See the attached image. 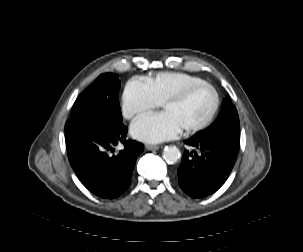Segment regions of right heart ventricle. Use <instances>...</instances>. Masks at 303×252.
I'll list each match as a JSON object with an SVG mask.
<instances>
[{"label":"right heart ventricle","instance_id":"1","mask_svg":"<svg viewBox=\"0 0 303 252\" xmlns=\"http://www.w3.org/2000/svg\"><path fill=\"white\" fill-rule=\"evenodd\" d=\"M192 81L188 77H153L146 80L144 85L151 101L154 104H163L186 92Z\"/></svg>","mask_w":303,"mask_h":252}]
</instances>
